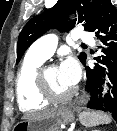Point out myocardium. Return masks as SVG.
<instances>
[{
	"instance_id": "myocardium-1",
	"label": "myocardium",
	"mask_w": 117,
	"mask_h": 131,
	"mask_svg": "<svg viewBox=\"0 0 117 131\" xmlns=\"http://www.w3.org/2000/svg\"><path fill=\"white\" fill-rule=\"evenodd\" d=\"M54 67H56L55 64H49L39 69L37 73V86L39 93L48 102L59 103L68 101L76 95L78 88L74 87L70 92L61 95L53 92L45 78V71Z\"/></svg>"
}]
</instances>
